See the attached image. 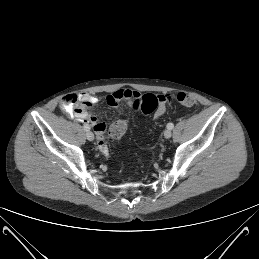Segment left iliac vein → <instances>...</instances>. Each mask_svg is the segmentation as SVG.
<instances>
[{
  "instance_id": "4c4485c4",
  "label": "left iliac vein",
  "mask_w": 259,
  "mask_h": 259,
  "mask_svg": "<svg viewBox=\"0 0 259 259\" xmlns=\"http://www.w3.org/2000/svg\"><path fill=\"white\" fill-rule=\"evenodd\" d=\"M171 135H172V132H171V130L170 129H166L165 131H164V137L165 138H170L171 137Z\"/></svg>"
}]
</instances>
